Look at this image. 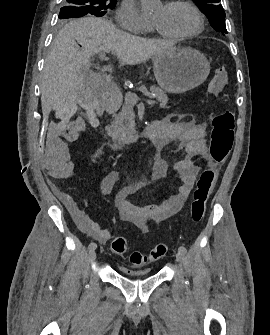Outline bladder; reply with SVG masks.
<instances>
[{
  "mask_svg": "<svg viewBox=\"0 0 270 335\" xmlns=\"http://www.w3.org/2000/svg\"><path fill=\"white\" fill-rule=\"evenodd\" d=\"M128 275H131V276H140V277H143V278H146L150 275L153 274V270H145V271H142V272H131V271H127L126 272Z\"/></svg>",
  "mask_w": 270,
  "mask_h": 335,
  "instance_id": "1",
  "label": "bladder"
}]
</instances>
